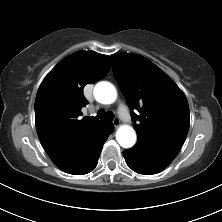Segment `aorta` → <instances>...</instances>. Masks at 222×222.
Listing matches in <instances>:
<instances>
[{
  "mask_svg": "<svg viewBox=\"0 0 222 222\" xmlns=\"http://www.w3.org/2000/svg\"><path fill=\"white\" fill-rule=\"evenodd\" d=\"M94 97L102 104H111L116 100V89L109 82H99L94 87ZM116 140L124 148L132 147L136 142L135 130L131 126L122 125L116 132Z\"/></svg>",
  "mask_w": 222,
  "mask_h": 222,
  "instance_id": "1",
  "label": "aorta"
}]
</instances>
